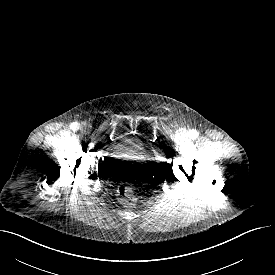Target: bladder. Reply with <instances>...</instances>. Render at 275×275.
<instances>
[{
    "label": "bladder",
    "mask_w": 275,
    "mask_h": 275,
    "mask_svg": "<svg viewBox=\"0 0 275 275\" xmlns=\"http://www.w3.org/2000/svg\"><path fill=\"white\" fill-rule=\"evenodd\" d=\"M155 157L142 140L125 136L115 142L107 152L105 168L116 179L141 180L151 174Z\"/></svg>",
    "instance_id": "bladder-1"
}]
</instances>
